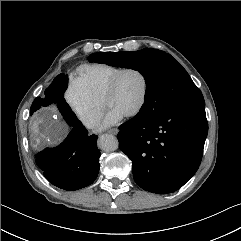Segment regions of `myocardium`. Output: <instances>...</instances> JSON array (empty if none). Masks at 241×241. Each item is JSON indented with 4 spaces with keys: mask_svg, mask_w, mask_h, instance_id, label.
Segmentation results:
<instances>
[{
    "mask_svg": "<svg viewBox=\"0 0 241 241\" xmlns=\"http://www.w3.org/2000/svg\"><path fill=\"white\" fill-rule=\"evenodd\" d=\"M129 71H135L141 76V78L143 80V92H142V96H141L140 101L137 104V106L132 111H130L129 113L124 115L127 118L138 115L143 110V108L147 102V99H148L149 80H148L146 73L142 69H140L138 67H134V66H128V67H124L121 70H119L109 81V83L105 89L104 96H103V103L106 106V103H107L108 99L110 98V96L114 93L120 78L122 77L123 74H125L126 72H129Z\"/></svg>",
    "mask_w": 241,
    "mask_h": 241,
    "instance_id": "myocardium-1",
    "label": "myocardium"
}]
</instances>
